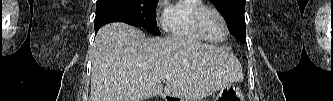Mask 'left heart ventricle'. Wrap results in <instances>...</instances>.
Listing matches in <instances>:
<instances>
[{
  "instance_id": "obj_1",
  "label": "left heart ventricle",
  "mask_w": 333,
  "mask_h": 101,
  "mask_svg": "<svg viewBox=\"0 0 333 101\" xmlns=\"http://www.w3.org/2000/svg\"><path fill=\"white\" fill-rule=\"evenodd\" d=\"M202 25L212 38L219 39L224 34V27L220 18L212 11H204L202 15Z\"/></svg>"
}]
</instances>
